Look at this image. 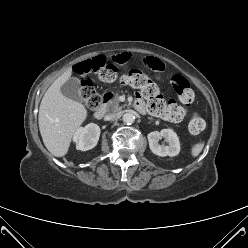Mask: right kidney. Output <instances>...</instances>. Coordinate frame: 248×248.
I'll return each instance as SVG.
<instances>
[{
    "instance_id": "obj_1",
    "label": "right kidney",
    "mask_w": 248,
    "mask_h": 248,
    "mask_svg": "<svg viewBox=\"0 0 248 248\" xmlns=\"http://www.w3.org/2000/svg\"><path fill=\"white\" fill-rule=\"evenodd\" d=\"M100 137V127L97 124L90 123L85 127L79 128L73 136L76 149L87 151L94 148Z\"/></svg>"
}]
</instances>
